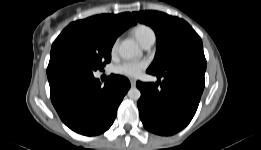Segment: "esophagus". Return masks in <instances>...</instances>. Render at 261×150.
Returning <instances> with one entry per match:
<instances>
[{"mask_svg": "<svg viewBox=\"0 0 261 150\" xmlns=\"http://www.w3.org/2000/svg\"><path fill=\"white\" fill-rule=\"evenodd\" d=\"M130 84L132 87L136 86V80L135 79H130Z\"/></svg>", "mask_w": 261, "mask_h": 150, "instance_id": "34e87169", "label": "esophagus"}]
</instances>
